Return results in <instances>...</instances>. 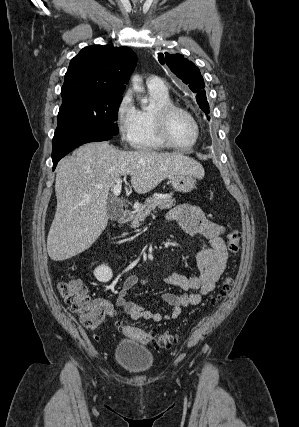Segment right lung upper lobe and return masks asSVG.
I'll return each mask as SVG.
<instances>
[{"instance_id":"cb5924a9","label":"right lung upper lobe","mask_w":299,"mask_h":427,"mask_svg":"<svg viewBox=\"0 0 299 427\" xmlns=\"http://www.w3.org/2000/svg\"><path fill=\"white\" fill-rule=\"evenodd\" d=\"M136 63L134 52L125 46L86 47L70 62L62 99L79 94L121 95Z\"/></svg>"}]
</instances>
